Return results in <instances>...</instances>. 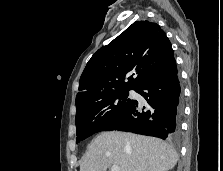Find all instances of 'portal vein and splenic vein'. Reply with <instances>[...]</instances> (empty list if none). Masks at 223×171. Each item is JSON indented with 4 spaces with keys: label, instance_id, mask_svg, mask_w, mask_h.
<instances>
[{
    "label": "portal vein and splenic vein",
    "instance_id": "18ae733b",
    "mask_svg": "<svg viewBox=\"0 0 223 171\" xmlns=\"http://www.w3.org/2000/svg\"><path fill=\"white\" fill-rule=\"evenodd\" d=\"M111 171H120V167L117 165H114L111 167Z\"/></svg>",
    "mask_w": 223,
    "mask_h": 171
}]
</instances>
